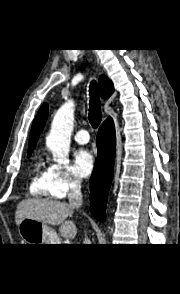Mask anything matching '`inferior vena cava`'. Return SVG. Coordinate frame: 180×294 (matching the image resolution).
Instances as JSON below:
<instances>
[{"instance_id":"inferior-vena-cava-1","label":"inferior vena cava","mask_w":180,"mask_h":294,"mask_svg":"<svg viewBox=\"0 0 180 294\" xmlns=\"http://www.w3.org/2000/svg\"><path fill=\"white\" fill-rule=\"evenodd\" d=\"M68 200L70 206L76 208L77 210L81 207L83 199L81 193V181L79 179H74L70 184V191L68 193ZM83 244H91L90 239L85 235Z\"/></svg>"}]
</instances>
